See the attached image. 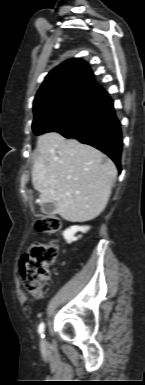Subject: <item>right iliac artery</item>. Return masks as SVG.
I'll return each mask as SVG.
<instances>
[{"label":"right iliac artery","mask_w":145,"mask_h":385,"mask_svg":"<svg viewBox=\"0 0 145 385\" xmlns=\"http://www.w3.org/2000/svg\"><path fill=\"white\" fill-rule=\"evenodd\" d=\"M44 329H45V325L44 323H40L39 327H38V332L40 333L41 337L44 338Z\"/></svg>","instance_id":"82829eb1"}]
</instances>
